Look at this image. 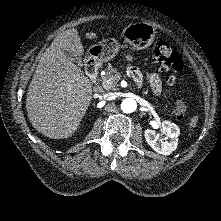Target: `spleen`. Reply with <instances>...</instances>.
Segmentation results:
<instances>
[{
    "label": "spleen",
    "instance_id": "obj_1",
    "mask_svg": "<svg viewBox=\"0 0 221 221\" xmlns=\"http://www.w3.org/2000/svg\"><path fill=\"white\" fill-rule=\"evenodd\" d=\"M197 122H198V115H195L190 119L189 129L194 128L197 125Z\"/></svg>",
    "mask_w": 221,
    "mask_h": 221
}]
</instances>
